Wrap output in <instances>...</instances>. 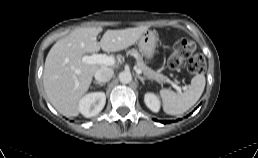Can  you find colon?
<instances>
[{"mask_svg":"<svg viewBox=\"0 0 258 158\" xmlns=\"http://www.w3.org/2000/svg\"><path fill=\"white\" fill-rule=\"evenodd\" d=\"M167 65L171 70L185 68L192 75L202 73L206 67L204 57L195 51L194 43L187 38L174 43Z\"/></svg>","mask_w":258,"mask_h":158,"instance_id":"1","label":"colon"}]
</instances>
